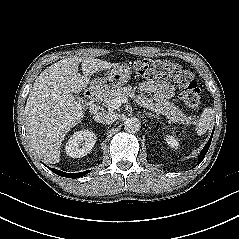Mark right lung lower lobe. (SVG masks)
Here are the masks:
<instances>
[{
    "instance_id": "1",
    "label": "right lung lower lobe",
    "mask_w": 239,
    "mask_h": 239,
    "mask_svg": "<svg viewBox=\"0 0 239 239\" xmlns=\"http://www.w3.org/2000/svg\"><path fill=\"white\" fill-rule=\"evenodd\" d=\"M51 171L57 175H60L63 177H68V178H79V177L86 175L89 172V170H88V171H84V172H80V173H65V172L59 171L57 169H51Z\"/></svg>"
}]
</instances>
